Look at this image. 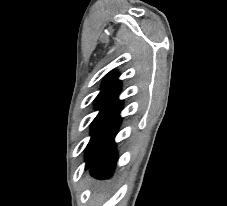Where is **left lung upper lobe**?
Instances as JSON below:
<instances>
[{"mask_svg":"<svg viewBox=\"0 0 227 206\" xmlns=\"http://www.w3.org/2000/svg\"><path fill=\"white\" fill-rule=\"evenodd\" d=\"M120 88H121V81L118 80L117 72L109 73L103 80L102 90L95 99L96 110H100V112L98 113V115L96 116V118L93 120L91 124L92 137L106 109L111 104V102L116 98V96L119 94ZM92 137L86 148L87 154L91 150Z\"/></svg>","mask_w":227,"mask_h":206,"instance_id":"obj_1","label":"left lung upper lobe"}]
</instances>
